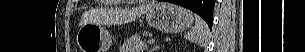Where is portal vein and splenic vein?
<instances>
[{
  "label": "portal vein and splenic vein",
  "instance_id": "18ae733b",
  "mask_svg": "<svg viewBox=\"0 0 305 52\" xmlns=\"http://www.w3.org/2000/svg\"><path fill=\"white\" fill-rule=\"evenodd\" d=\"M154 41H155L154 39H150V40L148 41V44L151 45V44L154 43Z\"/></svg>",
  "mask_w": 305,
  "mask_h": 52
}]
</instances>
